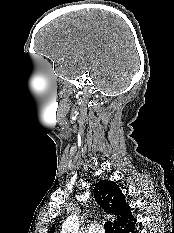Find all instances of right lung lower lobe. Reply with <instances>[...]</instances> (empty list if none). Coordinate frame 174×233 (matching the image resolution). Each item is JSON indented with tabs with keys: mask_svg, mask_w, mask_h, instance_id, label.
I'll list each match as a JSON object with an SVG mask.
<instances>
[{
	"mask_svg": "<svg viewBox=\"0 0 174 233\" xmlns=\"http://www.w3.org/2000/svg\"><path fill=\"white\" fill-rule=\"evenodd\" d=\"M122 233H137L136 230V223L132 226H130L128 229H126L125 231H123Z\"/></svg>",
	"mask_w": 174,
	"mask_h": 233,
	"instance_id": "98d812e1",
	"label": "right lung lower lobe"
}]
</instances>
